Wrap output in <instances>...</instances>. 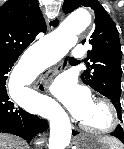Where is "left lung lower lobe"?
Listing matches in <instances>:
<instances>
[{
  "label": "left lung lower lobe",
  "instance_id": "1",
  "mask_svg": "<svg viewBox=\"0 0 124 149\" xmlns=\"http://www.w3.org/2000/svg\"><path fill=\"white\" fill-rule=\"evenodd\" d=\"M75 134L76 133L73 132V135H75ZM112 135L115 136L116 138H118L124 144V132H123V128L120 125L117 126V128L112 133Z\"/></svg>",
  "mask_w": 124,
  "mask_h": 149
}]
</instances>
